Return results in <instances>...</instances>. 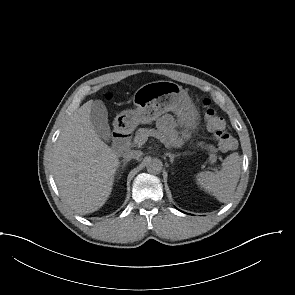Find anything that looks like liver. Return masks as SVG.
Wrapping results in <instances>:
<instances>
[{"mask_svg": "<svg viewBox=\"0 0 295 295\" xmlns=\"http://www.w3.org/2000/svg\"><path fill=\"white\" fill-rule=\"evenodd\" d=\"M93 100L70 116L55 143L54 179L63 201L85 215L100 209L112 191L118 156L104 143L90 120Z\"/></svg>", "mask_w": 295, "mask_h": 295, "instance_id": "1", "label": "liver"}]
</instances>
